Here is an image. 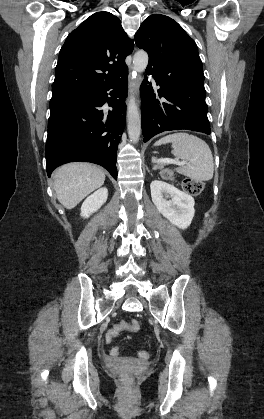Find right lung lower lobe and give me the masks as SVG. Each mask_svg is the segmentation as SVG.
<instances>
[{"label":"right lung lower lobe","mask_w":264,"mask_h":419,"mask_svg":"<svg viewBox=\"0 0 264 419\" xmlns=\"http://www.w3.org/2000/svg\"><path fill=\"white\" fill-rule=\"evenodd\" d=\"M127 75L128 70L96 90L51 98L45 150L49 177L62 164L86 161L103 166L116 179L117 148L125 127ZM106 103L111 110L103 108Z\"/></svg>","instance_id":"obj_1"}]
</instances>
